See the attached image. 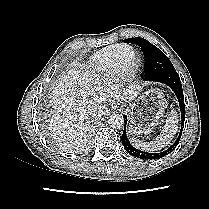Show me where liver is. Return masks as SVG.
<instances>
[{
	"mask_svg": "<svg viewBox=\"0 0 209 209\" xmlns=\"http://www.w3.org/2000/svg\"><path fill=\"white\" fill-rule=\"evenodd\" d=\"M119 86L75 70H70L55 82L50 94L53 111L49 128L60 150L69 153L86 151L92 122L107 114L105 104L113 99L134 100L141 90L135 84L123 91ZM99 108L102 111L98 112Z\"/></svg>",
	"mask_w": 209,
	"mask_h": 209,
	"instance_id": "liver-1",
	"label": "liver"
}]
</instances>
